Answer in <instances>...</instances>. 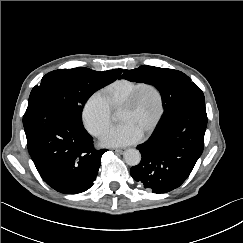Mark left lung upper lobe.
<instances>
[{"mask_svg": "<svg viewBox=\"0 0 243 243\" xmlns=\"http://www.w3.org/2000/svg\"><path fill=\"white\" fill-rule=\"evenodd\" d=\"M121 78L152 84L159 90L164 113L157 127L182 106L204 99L201 89L178 70L143 65L137 69L125 70Z\"/></svg>", "mask_w": 243, "mask_h": 243, "instance_id": "5c2ea615", "label": "left lung upper lobe"}]
</instances>
